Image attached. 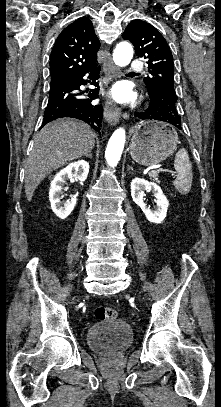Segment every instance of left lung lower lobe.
Listing matches in <instances>:
<instances>
[{"instance_id": "0a47b994", "label": "left lung lower lobe", "mask_w": 221, "mask_h": 407, "mask_svg": "<svg viewBox=\"0 0 221 407\" xmlns=\"http://www.w3.org/2000/svg\"><path fill=\"white\" fill-rule=\"evenodd\" d=\"M151 102L144 112L135 113L141 120L150 119L164 121L172 124L178 129L181 127V117L177 110V96L175 92L162 88L157 93L149 95Z\"/></svg>"}]
</instances>
